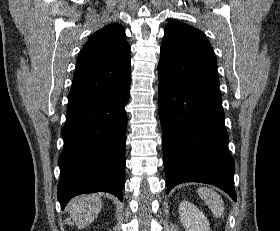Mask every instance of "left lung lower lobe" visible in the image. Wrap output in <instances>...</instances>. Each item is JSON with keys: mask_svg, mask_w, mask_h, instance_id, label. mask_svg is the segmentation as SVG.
<instances>
[{"mask_svg": "<svg viewBox=\"0 0 280 231\" xmlns=\"http://www.w3.org/2000/svg\"><path fill=\"white\" fill-rule=\"evenodd\" d=\"M158 108L167 193L185 182L212 184L236 201L234 160L219 86L180 83L160 74Z\"/></svg>", "mask_w": 280, "mask_h": 231, "instance_id": "1", "label": "left lung lower lobe"}]
</instances>
